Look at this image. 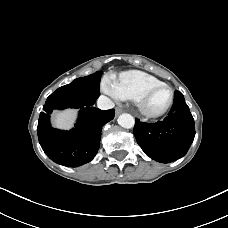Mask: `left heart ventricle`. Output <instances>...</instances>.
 <instances>
[{
  "label": "left heart ventricle",
  "mask_w": 228,
  "mask_h": 228,
  "mask_svg": "<svg viewBox=\"0 0 228 228\" xmlns=\"http://www.w3.org/2000/svg\"><path fill=\"white\" fill-rule=\"evenodd\" d=\"M169 90L167 88H159L155 90L147 100V108L151 111L162 109L169 100Z\"/></svg>",
  "instance_id": "b2bd125f"
}]
</instances>
